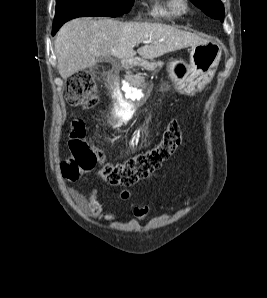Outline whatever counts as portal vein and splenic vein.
<instances>
[{"label":"portal vein and splenic vein","instance_id":"18ae733b","mask_svg":"<svg viewBox=\"0 0 267 298\" xmlns=\"http://www.w3.org/2000/svg\"><path fill=\"white\" fill-rule=\"evenodd\" d=\"M143 43H151V40H145Z\"/></svg>","mask_w":267,"mask_h":298}]
</instances>
